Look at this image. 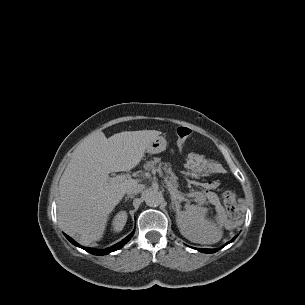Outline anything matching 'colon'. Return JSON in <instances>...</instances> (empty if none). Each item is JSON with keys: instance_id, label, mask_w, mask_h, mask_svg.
Listing matches in <instances>:
<instances>
[{"instance_id": "5ec220e1", "label": "colon", "mask_w": 305, "mask_h": 305, "mask_svg": "<svg viewBox=\"0 0 305 305\" xmlns=\"http://www.w3.org/2000/svg\"><path fill=\"white\" fill-rule=\"evenodd\" d=\"M175 133L177 136L178 145L180 147H183L186 140L191 135V130L185 126H178L175 129ZM222 200L228 211L229 216L231 218H236L239 213L236 194L232 190H227L223 193Z\"/></svg>"}]
</instances>
